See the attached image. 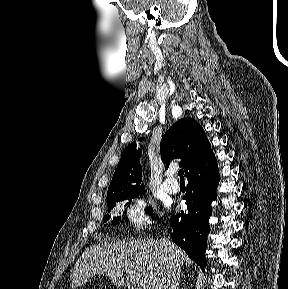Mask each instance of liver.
Segmentation results:
<instances>
[{
  "label": "liver",
  "instance_id": "1",
  "mask_svg": "<svg viewBox=\"0 0 288 289\" xmlns=\"http://www.w3.org/2000/svg\"><path fill=\"white\" fill-rule=\"evenodd\" d=\"M179 266L187 260L184 251L167 240ZM166 253L162 241H110L88 247L76 262L71 274V288L83 285L96 274H106L120 287L125 273L128 289H158L164 273Z\"/></svg>",
  "mask_w": 288,
  "mask_h": 289
}]
</instances>
